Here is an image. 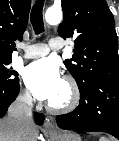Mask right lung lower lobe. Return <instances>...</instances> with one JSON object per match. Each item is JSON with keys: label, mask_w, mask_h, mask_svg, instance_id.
Wrapping results in <instances>:
<instances>
[{"label": "right lung lower lobe", "mask_w": 119, "mask_h": 141, "mask_svg": "<svg viewBox=\"0 0 119 141\" xmlns=\"http://www.w3.org/2000/svg\"><path fill=\"white\" fill-rule=\"evenodd\" d=\"M19 93V82L9 88L0 87V118L5 115L10 104L15 100ZM35 121L41 125L44 121V115L35 113Z\"/></svg>", "instance_id": "right-lung-lower-lobe-1"}]
</instances>
